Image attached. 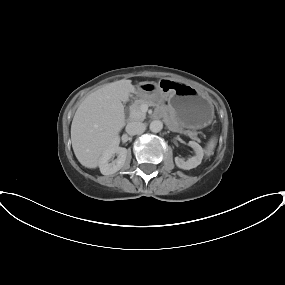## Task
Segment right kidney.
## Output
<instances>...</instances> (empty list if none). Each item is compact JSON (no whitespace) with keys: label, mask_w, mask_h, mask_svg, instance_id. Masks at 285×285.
<instances>
[{"label":"right kidney","mask_w":285,"mask_h":285,"mask_svg":"<svg viewBox=\"0 0 285 285\" xmlns=\"http://www.w3.org/2000/svg\"><path fill=\"white\" fill-rule=\"evenodd\" d=\"M118 144L119 140L114 141L106 148L100 157L99 168L103 175L114 174L125 164L128 151L126 148L119 147ZM114 155H117V158L111 161Z\"/></svg>","instance_id":"obj_1"}]
</instances>
